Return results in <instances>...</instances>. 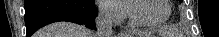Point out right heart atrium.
I'll return each instance as SVG.
<instances>
[{"label": "right heart atrium", "instance_id": "right-heart-atrium-1", "mask_svg": "<svg viewBox=\"0 0 219 37\" xmlns=\"http://www.w3.org/2000/svg\"><path fill=\"white\" fill-rule=\"evenodd\" d=\"M101 13L110 20H121L125 15V9L120 0H107L99 2Z\"/></svg>", "mask_w": 219, "mask_h": 37}]
</instances>
